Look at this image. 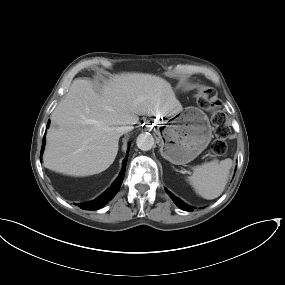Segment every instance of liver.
<instances>
[{"label": "liver", "mask_w": 285, "mask_h": 285, "mask_svg": "<svg viewBox=\"0 0 285 285\" xmlns=\"http://www.w3.org/2000/svg\"><path fill=\"white\" fill-rule=\"evenodd\" d=\"M182 111L166 80L143 73L115 75L97 93L90 81L76 79L51 114L44 167L70 176L105 171L118 153L117 127L139 115L171 116Z\"/></svg>", "instance_id": "1"}]
</instances>
